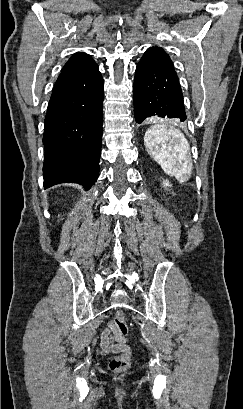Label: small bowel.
<instances>
[{
    "label": "small bowel",
    "mask_w": 243,
    "mask_h": 409,
    "mask_svg": "<svg viewBox=\"0 0 243 409\" xmlns=\"http://www.w3.org/2000/svg\"><path fill=\"white\" fill-rule=\"evenodd\" d=\"M120 340L115 336L114 323L109 321L101 334V347L105 353H119L125 350V345L118 343Z\"/></svg>",
    "instance_id": "obj_1"
}]
</instances>
